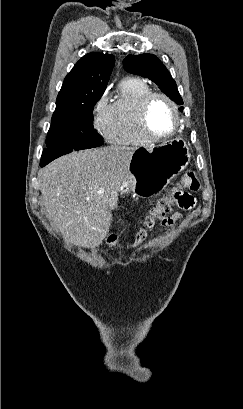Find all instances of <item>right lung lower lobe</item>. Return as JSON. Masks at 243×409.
<instances>
[{"instance_id": "obj_1", "label": "right lung lower lobe", "mask_w": 243, "mask_h": 409, "mask_svg": "<svg viewBox=\"0 0 243 409\" xmlns=\"http://www.w3.org/2000/svg\"><path fill=\"white\" fill-rule=\"evenodd\" d=\"M74 150H44L42 153L41 161H40V166L43 167L47 165L49 162L52 160L68 154Z\"/></svg>"}]
</instances>
